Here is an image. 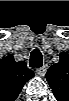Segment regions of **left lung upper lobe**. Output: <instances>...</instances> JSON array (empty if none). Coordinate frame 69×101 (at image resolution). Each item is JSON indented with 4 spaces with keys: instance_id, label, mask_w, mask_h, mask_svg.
Instances as JSON below:
<instances>
[{
    "instance_id": "obj_1",
    "label": "left lung upper lobe",
    "mask_w": 69,
    "mask_h": 101,
    "mask_svg": "<svg viewBox=\"0 0 69 101\" xmlns=\"http://www.w3.org/2000/svg\"><path fill=\"white\" fill-rule=\"evenodd\" d=\"M46 79L55 94L65 86L69 80V66L66 58L60 55V61L49 68Z\"/></svg>"
}]
</instances>
